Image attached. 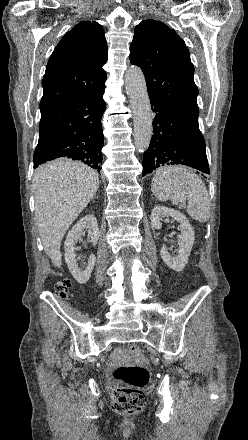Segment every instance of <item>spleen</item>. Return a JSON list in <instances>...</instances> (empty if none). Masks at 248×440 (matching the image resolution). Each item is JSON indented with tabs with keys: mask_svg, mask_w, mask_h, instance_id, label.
Here are the masks:
<instances>
[{
	"mask_svg": "<svg viewBox=\"0 0 248 440\" xmlns=\"http://www.w3.org/2000/svg\"><path fill=\"white\" fill-rule=\"evenodd\" d=\"M151 190L160 201L174 204L187 201V213L205 223L210 218V200L204 182L184 166H164L153 177Z\"/></svg>",
	"mask_w": 248,
	"mask_h": 440,
	"instance_id": "obj_1",
	"label": "spleen"
}]
</instances>
